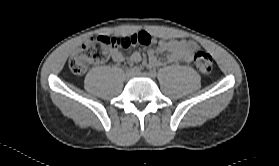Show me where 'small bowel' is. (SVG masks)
<instances>
[{"mask_svg": "<svg viewBox=\"0 0 279 166\" xmlns=\"http://www.w3.org/2000/svg\"><path fill=\"white\" fill-rule=\"evenodd\" d=\"M144 35L148 38V44H156L155 49H150L147 52L146 64L150 68H156L161 65V61L158 58V53L167 52V61L175 63L178 61L191 62L193 53L198 49V45L190 40L178 39V40H156L152 38L146 31H140L132 34L128 37L138 38ZM111 58L116 63H121L125 60L123 53L118 48H113L111 51ZM128 61L132 64L144 62V58L141 53L134 52Z\"/></svg>", "mask_w": 279, "mask_h": 166, "instance_id": "1", "label": "small bowel"}]
</instances>
